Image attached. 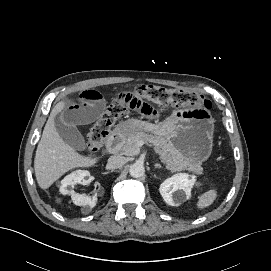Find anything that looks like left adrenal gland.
<instances>
[{"mask_svg":"<svg viewBox=\"0 0 271 271\" xmlns=\"http://www.w3.org/2000/svg\"><path fill=\"white\" fill-rule=\"evenodd\" d=\"M154 168H155V169H161L162 166H161L160 164H155V165H154Z\"/></svg>","mask_w":271,"mask_h":271,"instance_id":"1","label":"left adrenal gland"}]
</instances>
